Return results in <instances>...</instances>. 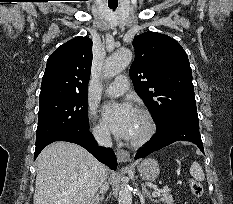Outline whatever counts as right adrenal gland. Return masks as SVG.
<instances>
[{
  "label": "right adrenal gland",
  "mask_w": 233,
  "mask_h": 204,
  "mask_svg": "<svg viewBox=\"0 0 233 204\" xmlns=\"http://www.w3.org/2000/svg\"><path fill=\"white\" fill-rule=\"evenodd\" d=\"M104 199V194L101 195L97 194L91 201V204H101Z\"/></svg>",
  "instance_id": "2a0ac1e0"
}]
</instances>
